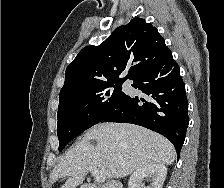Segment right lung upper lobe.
<instances>
[{
    "label": "right lung upper lobe",
    "instance_id": "1",
    "mask_svg": "<svg viewBox=\"0 0 224 188\" xmlns=\"http://www.w3.org/2000/svg\"><path fill=\"white\" fill-rule=\"evenodd\" d=\"M171 54L157 28L136 17L122 25L99 46L83 48L68 65L60 92L132 80ZM129 70L124 78L119 75Z\"/></svg>",
    "mask_w": 224,
    "mask_h": 188
}]
</instances>
